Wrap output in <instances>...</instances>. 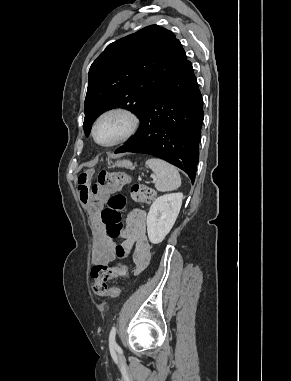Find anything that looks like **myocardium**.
<instances>
[{
	"label": "myocardium",
	"mask_w": 291,
	"mask_h": 381,
	"mask_svg": "<svg viewBox=\"0 0 291 381\" xmlns=\"http://www.w3.org/2000/svg\"><path fill=\"white\" fill-rule=\"evenodd\" d=\"M111 114H120V115L126 116L130 121V126L128 131L122 137H120L119 139H117L116 141L112 143L103 144L99 142L97 139V135H96L97 126H98V123L104 117ZM139 126H140V118L132 109L127 107H114L104 111L96 118L92 126V137L99 146L106 147V148L114 147L129 141L137 133Z\"/></svg>",
	"instance_id": "1"
}]
</instances>
